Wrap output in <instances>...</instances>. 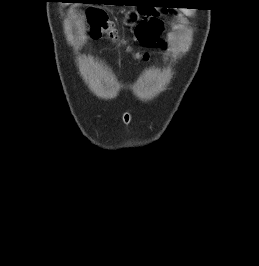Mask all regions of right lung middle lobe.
Here are the masks:
<instances>
[{
	"label": "right lung middle lobe",
	"mask_w": 259,
	"mask_h": 266,
	"mask_svg": "<svg viewBox=\"0 0 259 266\" xmlns=\"http://www.w3.org/2000/svg\"><path fill=\"white\" fill-rule=\"evenodd\" d=\"M90 2H98V0H90Z\"/></svg>",
	"instance_id": "obj_1"
}]
</instances>
